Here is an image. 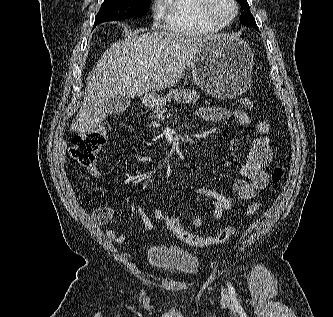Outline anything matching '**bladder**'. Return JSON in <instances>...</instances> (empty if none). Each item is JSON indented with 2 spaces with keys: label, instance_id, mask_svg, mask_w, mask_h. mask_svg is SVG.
Here are the masks:
<instances>
[{
  "label": "bladder",
  "instance_id": "31cf9c89",
  "mask_svg": "<svg viewBox=\"0 0 333 317\" xmlns=\"http://www.w3.org/2000/svg\"><path fill=\"white\" fill-rule=\"evenodd\" d=\"M146 260L155 271L176 272L185 277L196 275L200 268L197 256L173 246H150L146 252Z\"/></svg>",
  "mask_w": 333,
  "mask_h": 317
}]
</instances>
